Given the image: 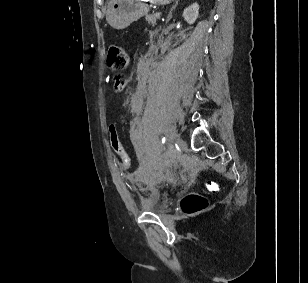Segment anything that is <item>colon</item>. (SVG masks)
Returning a JSON list of instances; mask_svg holds the SVG:
<instances>
[{"instance_id": "colon-1", "label": "colon", "mask_w": 308, "mask_h": 283, "mask_svg": "<svg viewBox=\"0 0 308 283\" xmlns=\"http://www.w3.org/2000/svg\"><path fill=\"white\" fill-rule=\"evenodd\" d=\"M107 59L109 66L115 71H123L127 68L129 64V56L123 47L117 44H112L108 48ZM115 86H122L123 79L121 77H116L114 81ZM110 141L111 145L116 152V154L121 159V163L124 167L128 168L130 166L129 155L123 146L117 129L114 125L109 127ZM208 191L215 192L218 190V185L215 182L209 181L206 184ZM207 205V200L198 194L187 195L182 200V209L185 212L193 213L203 209Z\"/></svg>"}]
</instances>
